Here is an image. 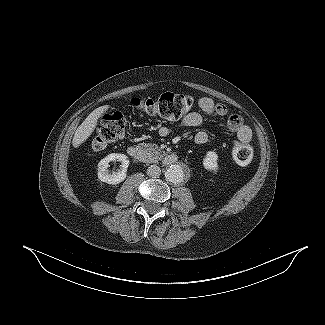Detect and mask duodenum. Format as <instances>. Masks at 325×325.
Here are the masks:
<instances>
[{
    "instance_id": "duodenum-1",
    "label": "duodenum",
    "mask_w": 325,
    "mask_h": 325,
    "mask_svg": "<svg viewBox=\"0 0 325 325\" xmlns=\"http://www.w3.org/2000/svg\"><path fill=\"white\" fill-rule=\"evenodd\" d=\"M128 154L134 158L135 160L142 162V163H147L150 161V156L149 154L139 145H130L128 147ZM178 161V157L174 153H167L163 157V164L165 165H171L174 164Z\"/></svg>"
}]
</instances>
